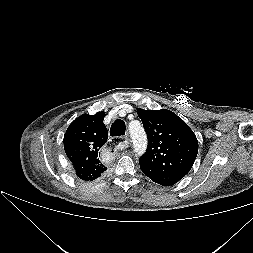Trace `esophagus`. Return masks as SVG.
Instances as JSON below:
<instances>
[{"label": "esophagus", "instance_id": "34e87169", "mask_svg": "<svg viewBox=\"0 0 253 253\" xmlns=\"http://www.w3.org/2000/svg\"><path fill=\"white\" fill-rule=\"evenodd\" d=\"M130 142H131L130 136H129V134H126L125 137H124L123 143L128 145V144H130Z\"/></svg>", "mask_w": 253, "mask_h": 253}]
</instances>
